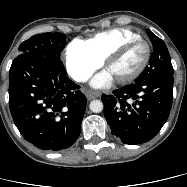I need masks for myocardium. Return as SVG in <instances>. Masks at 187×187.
<instances>
[{
    "instance_id": "myocardium-1",
    "label": "myocardium",
    "mask_w": 187,
    "mask_h": 187,
    "mask_svg": "<svg viewBox=\"0 0 187 187\" xmlns=\"http://www.w3.org/2000/svg\"><path fill=\"white\" fill-rule=\"evenodd\" d=\"M141 42L143 44H145L146 46V56L142 62V64L131 74L122 77V78H118L117 81L119 83H128L131 82L133 80H135L136 78H138L146 69L150 58H151V44L149 43L148 40L142 38V37H138V38H134V39H130L127 40L123 43H121L119 46H117L116 48H114L112 51H110L107 56L105 57V66L108 67V65L116 58L120 57L131 45Z\"/></svg>"
}]
</instances>
